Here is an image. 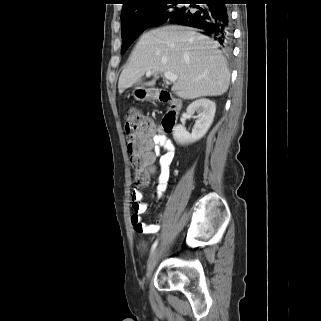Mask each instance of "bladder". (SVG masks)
Listing matches in <instances>:
<instances>
[{
	"label": "bladder",
	"mask_w": 321,
	"mask_h": 321,
	"mask_svg": "<svg viewBox=\"0 0 321 321\" xmlns=\"http://www.w3.org/2000/svg\"><path fill=\"white\" fill-rule=\"evenodd\" d=\"M142 248L145 250L146 249V247H147V244L145 243V242H142Z\"/></svg>",
	"instance_id": "31cf9c89"
}]
</instances>
